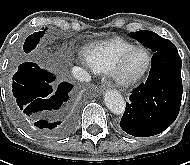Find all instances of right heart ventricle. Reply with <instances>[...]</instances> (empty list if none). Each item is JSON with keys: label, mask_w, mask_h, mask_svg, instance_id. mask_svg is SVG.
<instances>
[{"label": "right heart ventricle", "mask_w": 190, "mask_h": 165, "mask_svg": "<svg viewBox=\"0 0 190 165\" xmlns=\"http://www.w3.org/2000/svg\"><path fill=\"white\" fill-rule=\"evenodd\" d=\"M134 46L133 42L119 37L93 44L86 50V63L96 74H112L120 56Z\"/></svg>", "instance_id": "e07e8e85"}]
</instances>
